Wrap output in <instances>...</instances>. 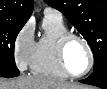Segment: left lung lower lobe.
Segmentation results:
<instances>
[{
	"mask_svg": "<svg viewBox=\"0 0 107 89\" xmlns=\"http://www.w3.org/2000/svg\"><path fill=\"white\" fill-rule=\"evenodd\" d=\"M80 82L107 89V60L97 66L88 78L81 80Z\"/></svg>",
	"mask_w": 107,
	"mask_h": 89,
	"instance_id": "left-lung-lower-lobe-1",
	"label": "left lung lower lobe"
}]
</instances>
